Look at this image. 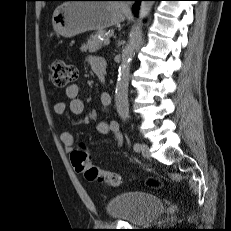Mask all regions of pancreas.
<instances>
[{"label":"pancreas","instance_id":"obj_1","mask_svg":"<svg viewBox=\"0 0 231 231\" xmlns=\"http://www.w3.org/2000/svg\"><path fill=\"white\" fill-rule=\"evenodd\" d=\"M104 31L96 32L92 34L90 38L87 40L86 44L81 46V51H89V52H97L103 46V42L100 40V36H104Z\"/></svg>","mask_w":231,"mask_h":231}]
</instances>
